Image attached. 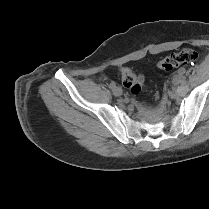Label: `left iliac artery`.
<instances>
[{
  "label": "left iliac artery",
  "mask_w": 209,
  "mask_h": 209,
  "mask_svg": "<svg viewBox=\"0 0 209 209\" xmlns=\"http://www.w3.org/2000/svg\"><path fill=\"white\" fill-rule=\"evenodd\" d=\"M178 72L180 74H184L186 72V69L184 67H179Z\"/></svg>",
  "instance_id": "obj_1"
}]
</instances>
